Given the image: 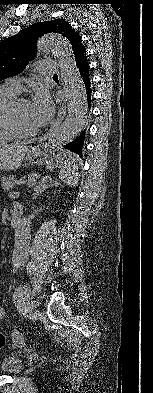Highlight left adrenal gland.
I'll return each mask as SVG.
<instances>
[{
    "mask_svg": "<svg viewBox=\"0 0 153 393\" xmlns=\"http://www.w3.org/2000/svg\"><path fill=\"white\" fill-rule=\"evenodd\" d=\"M45 180L39 181L38 184H35L33 196L37 197L43 191L41 188L46 189V185L44 184Z\"/></svg>",
    "mask_w": 153,
    "mask_h": 393,
    "instance_id": "left-adrenal-gland-1",
    "label": "left adrenal gland"
}]
</instances>
